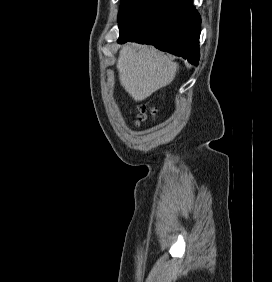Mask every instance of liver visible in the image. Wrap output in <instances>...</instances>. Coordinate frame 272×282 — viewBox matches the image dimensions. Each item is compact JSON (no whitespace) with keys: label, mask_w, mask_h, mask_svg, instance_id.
<instances>
[{"label":"liver","mask_w":272,"mask_h":282,"mask_svg":"<svg viewBox=\"0 0 272 282\" xmlns=\"http://www.w3.org/2000/svg\"><path fill=\"white\" fill-rule=\"evenodd\" d=\"M117 69L125 91L135 101H142L172 79L176 63L152 46L127 44L122 47Z\"/></svg>","instance_id":"6515ba94"}]
</instances>
